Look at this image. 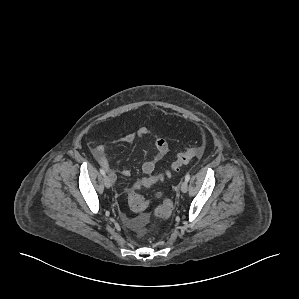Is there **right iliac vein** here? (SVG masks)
<instances>
[{"label": "right iliac vein", "instance_id": "obj_1", "mask_svg": "<svg viewBox=\"0 0 299 299\" xmlns=\"http://www.w3.org/2000/svg\"><path fill=\"white\" fill-rule=\"evenodd\" d=\"M103 181H104V185H105L107 188H110V187H111V185H112V180H111V178H110L109 176H106V175H105Z\"/></svg>", "mask_w": 299, "mask_h": 299}]
</instances>
